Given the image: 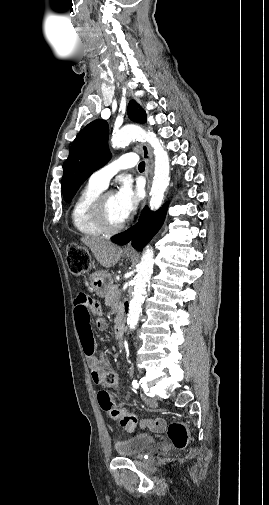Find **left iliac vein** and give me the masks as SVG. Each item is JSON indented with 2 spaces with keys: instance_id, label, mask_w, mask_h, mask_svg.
Instances as JSON below:
<instances>
[{
  "instance_id": "4c4485c4",
  "label": "left iliac vein",
  "mask_w": 269,
  "mask_h": 505,
  "mask_svg": "<svg viewBox=\"0 0 269 505\" xmlns=\"http://www.w3.org/2000/svg\"><path fill=\"white\" fill-rule=\"evenodd\" d=\"M143 399L147 402V408L151 410H157V402L155 400H152L151 398L146 397L145 395L141 394Z\"/></svg>"
}]
</instances>
